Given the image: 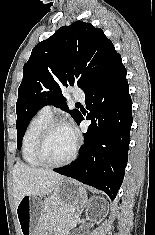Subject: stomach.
I'll return each mask as SVG.
<instances>
[{
    "instance_id": "0dacf381",
    "label": "stomach",
    "mask_w": 155,
    "mask_h": 235,
    "mask_svg": "<svg viewBox=\"0 0 155 235\" xmlns=\"http://www.w3.org/2000/svg\"><path fill=\"white\" fill-rule=\"evenodd\" d=\"M86 201L84 188L75 180L66 178L58 182L51 197L44 202L37 196L25 195L16 207L21 235H45L44 218L48 206L51 209L56 206L79 209Z\"/></svg>"
}]
</instances>
